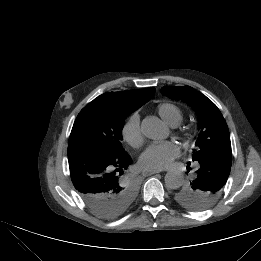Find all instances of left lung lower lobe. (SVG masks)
Returning <instances> with one entry per match:
<instances>
[{"mask_svg": "<svg viewBox=\"0 0 261 261\" xmlns=\"http://www.w3.org/2000/svg\"><path fill=\"white\" fill-rule=\"evenodd\" d=\"M231 164L225 167H217L213 163L205 161L202 159L200 161L199 169L197 170V175L193 182H203V189L205 191L213 192L215 188L213 186H208V180H217L219 182L227 181L230 173ZM219 170V171H216Z\"/></svg>", "mask_w": 261, "mask_h": 261, "instance_id": "1", "label": "left lung lower lobe"}]
</instances>
